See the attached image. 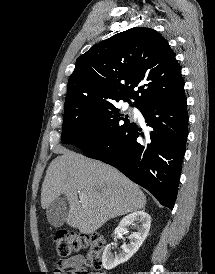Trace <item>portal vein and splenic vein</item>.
I'll return each instance as SVG.
<instances>
[{
  "mask_svg": "<svg viewBox=\"0 0 215 274\" xmlns=\"http://www.w3.org/2000/svg\"><path fill=\"white\" fill-rule=\"evenodd\" d=\"M79 198L81 201H84L86 199V195L84 193H79Z\"/></svg>",
  "mask_w": 215,
  "mask_h": 274,
  "instance_id": "1",
  "label": "portal vein and splenic vein"
}]
</instances>
